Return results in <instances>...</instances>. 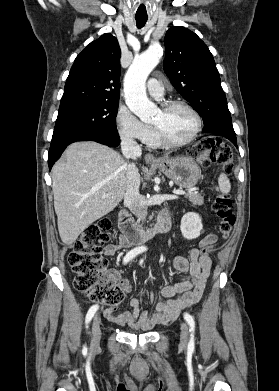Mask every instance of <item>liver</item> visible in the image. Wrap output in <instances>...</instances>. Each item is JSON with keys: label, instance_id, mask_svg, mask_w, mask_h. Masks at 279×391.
Segmentation results:
<instances>
[{"label": "liver", "instance_id": "1", "mask_svg": "<svg viewBox=\"0 0 279 391\" xmlns=\"http://www.w3.org/2000/svg\"><path fill=\"white\" fill-rule=\"evenodd\" d=\"M125 168V160L108 146L92 141L68 146L65 161L57 162L51 172L63 243L72 245L88 226L121 202L127 185Z\"/></svg>", "mask_w": 279, "mask_h": 391}]
</instances>
